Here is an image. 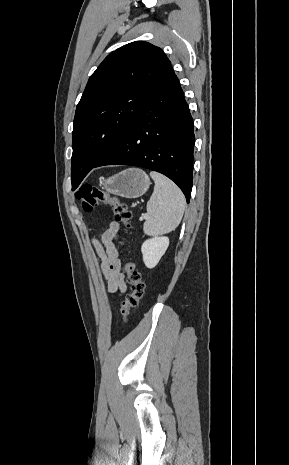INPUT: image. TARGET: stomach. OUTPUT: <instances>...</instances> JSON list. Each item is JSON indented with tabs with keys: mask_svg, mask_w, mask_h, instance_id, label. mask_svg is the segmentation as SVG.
Here are the masks:
<instances>
[{
	"mask_svg": "<svg viewBox=\"0 0 289 465\" xmlns=\"http://www.w3.org/2000/svg\"><path fill=\"white\" fill-rule=\"evenodd\" d=\"M102 185L108 193L125 198H137L148 190L150 179L143 170L129 168L103 180Z\"/></svg>",
	"mask_w": 289,
	"mask_h": 465,
	"instance_id": "stomach-1",
	"label": "stomach"
}]
</instances>
